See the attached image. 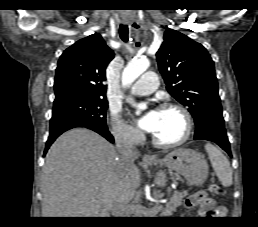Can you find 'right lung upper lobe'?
<instances>
[{
	"label": "right lung upper lobe",
	"mask_w": 258,
	"mask_h": 227,
	"mask_svg": "<svg viewBox=\"0 0 258 227\" xmlns=\"http://www.w3.org/2000/svg\"><path fill=\"white\" fill-rule=\"evenodd\" d=\"M114 52L99 34H92L67 48L58 61L55 94L76 92L106 97V67Z\"/></svg>",
	"instance_id": "cb5924a9"
}]
</instances>
